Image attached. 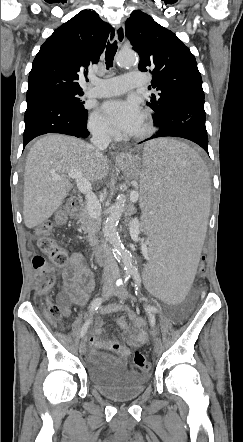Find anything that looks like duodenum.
<instances>
[{
  "label": "duodenum",
  "mask_w": 243,
  "mask_h": 442,
  "mask_svg": "<svg viewBox=\"0 0 243 442\" xmlns=\"http://www.w3.org/2000/svg\"><path fill=\"white\" fill-rule=\"evenodd\" d=\"M80 199H71L68 202V212L75 216L80 209ZM92 259L95 263L102 265L105 261V253L101 248H95L92 252Z\"/></svg>",
  "instance_id": "410a0bca"
}]
</instances>
